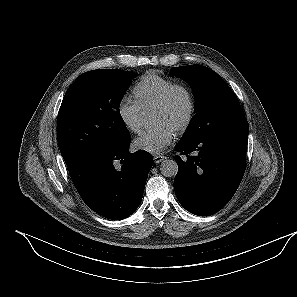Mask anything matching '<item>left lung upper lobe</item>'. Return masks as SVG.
Wrapping results in <instances>:
<instances>
[{
    "instance_id": "left-lung-upper-lobe-1",
    "label": "left lung upper lobe",
    "mask_w": 297,
    "mask_h": 297,
    "mask_svg": "<svg viewBox=\"0 0 297 297\" xmlns=\"http://www.w3.org/2000/svg\"><path fill=\"white\" fill-rule=\"evenodd\" d=\"M170 76L189 81L195 97V115L182 140L200 137L245 118L237 96L213 70L201 65L180 66L173 67Z\"/></svg>"
}]
</instances>
